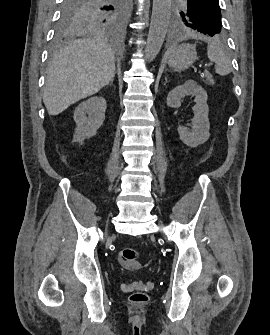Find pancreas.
I'll return each mask as SVG.
<instances>
[{
	"label": "pancreas",
	"mask_w": 270,
	"mask_h": 335,
	"mask_svg": "<svg viewBox=\"0 0 270 335\" xmlns=\"http://www.w3.org/2000/svg\"><path fill=\"white\" fill-rule=\"evenodd\" d=\"M205 78L206 80H208V84H210V86H213V84H215V82H213V78L210 72H205Z\"/></svg>",
	"instance_id": "pancreas-1"
}]
</instances>
